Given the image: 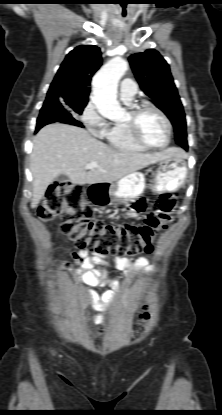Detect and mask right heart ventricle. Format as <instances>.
<instances>
[{"label": "right heart ventricle", "mask_w": 222, "mask_h": 415, "mask_svg": "<svg viewBox=\"0 0 222 415\" xmlns=\"http://www.w3.org/2000/svg\"><path fill=\"white\" fill-rule=\"evenodd\" d=\"M127 103H130V101ZM104 137L112 147L119 150L129 152H143L146 150L134 141L123 122L114 123Z\"/></svg>", "instance_id": "obj_1"}]
</instances>
